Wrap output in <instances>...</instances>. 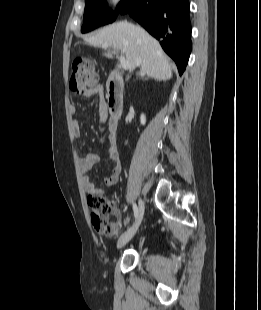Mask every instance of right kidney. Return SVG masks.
I'll list each match as a JSON object with an SVG mask.
<instances>
[{"label": "right kidney", "mask_w": 261, "mask_h": 310, "mask_svg": "<svg viewBox=\"0 0 261 310\" xmlns=\"http://www.w3.org/2000/svg\"><path fill=\"white\" fill-rule=\"evenodd\" d=\"M140 122H141L142 125H145V123H146V117H145L144 114H141V116H140Z\"/></svg>", "instance_id": "ca27d5eb"}]
</instances>
